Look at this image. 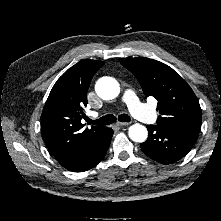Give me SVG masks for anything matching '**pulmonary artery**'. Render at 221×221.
Wrapping results in <instances>:
<instances>
[{
    "label": "pulmonary artery",
    "instance_id": "pulmonary-artery-1",
    "mask_svg": "<svg viewBox=\"0 0 221 221\" xmlns=\"http://www.w3.org/2000/svg\"><path fill=\"white\" fill-rule=\"evenodd\" d=\"M123 101L128 106L132 115L137 119L145 123H153L155 121V113L142 104L132 90L128 89L124 92ZM92 116L96 117L97 113H92Z\"/></svg>",
    "mask_w": 221,
    "mask_h": 221
}]
</instances>
